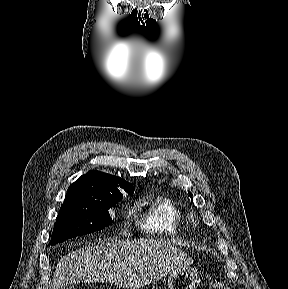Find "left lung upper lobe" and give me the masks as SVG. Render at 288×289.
I'll list each match as a JSON object with an SVG mask.
<instances>
[{"mask_svg":"<svg viewBox=\"0 0 288 289\" xmlns=\"http://www.w3.org/2000/svg\"><path fill=\"white\" fill-rule=\"evenodd\" d=\"M189 196L192 198V193L191 192H189Z\"/></svg>","mask_w":288,"mask_h":289,"instance_id":"1","label":"left lung upper lobe"}]
</instances>
